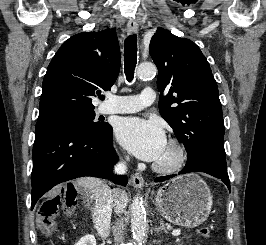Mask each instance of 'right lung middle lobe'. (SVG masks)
Here are the masks:
<instances>
[{
	"mask_svg": "<svg viewBox=\"0 0 266 245\" xmlns=\"http://www.w3.org/2000/svg\"><path fill=\"white\" fill-rule=\"evenodd\" d=\"M95 112L94 109H85L72 111L66 114H63L54 119L38 121L35 127V133L46 130L58 123H71L77 124L90 132H101L106 126L105 122H94Z\"/></svg>",
	"mask_w": 266,
	"mask_h": 245,
	"instance_id": "1",
	"label": "right lung middle lobe"
}]
</instances>
